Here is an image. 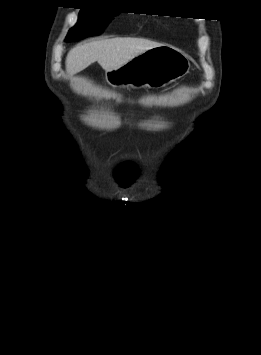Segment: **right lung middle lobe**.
Wrapping results in <instances>:
<instances>
[{
    "instance_id": "right-lung-middle-lobe-1",
    "label": "right lung middle lobe",
    "mask_w": 261,
    "mask_h": 355,
    "mask_svg": "<svg viewBox=\"0 0 261 355\" xmlns=\"http://www.w3.org/2000/svg\"><path fill=\"white\" fill-rule=\"evenodd\" d=\"M119 13L98 9H81L78 23L69 31L66 41H77L88 36L99 35L112 18Z\"/></svg>"
}]
</instances>
